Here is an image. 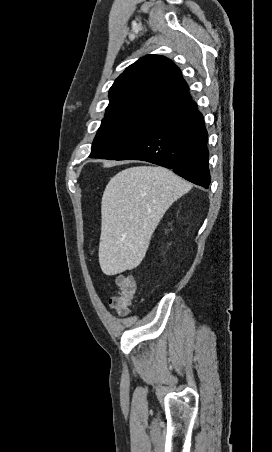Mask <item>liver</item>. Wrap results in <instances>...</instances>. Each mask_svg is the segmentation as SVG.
<instances>
[{
	"label": "liver",
	"mask_w": 272,
	"mask_h": 452,
	"mask_svg": "<svg viewBox=\"0 0 272 452\" xmlns=\"http://www.w3.org/2000/svg\"><path fill=\"white\" fill-rule=\"evenodd\" d=\"M191 188L159 166L131 167L111 178L101 202L102 272L111 276L136 268L165 212Z\"/></svg>",
	"instance_id": "1"
}]
</instances>
